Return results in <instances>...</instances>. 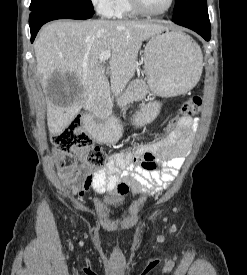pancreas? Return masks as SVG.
<instances>
[{
  "instance_id": "obj_1",
  "label": "pancreas",
  "mask_w": 247,
  "mask_h": 275,
  "mask_svg": "<svg viewBox=\"0 0 247 275\" xmlns=\"http://www.w3.org/2000/svg\"><path fill=\"white\" fill-rule=\"evenodd\" d=\"M150 93L148 85L143 79H136L130 83L123 95L118 99L119 105H126L141 100Z\"/></svg>"
}]
</instances>
